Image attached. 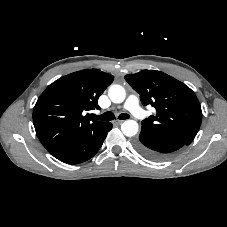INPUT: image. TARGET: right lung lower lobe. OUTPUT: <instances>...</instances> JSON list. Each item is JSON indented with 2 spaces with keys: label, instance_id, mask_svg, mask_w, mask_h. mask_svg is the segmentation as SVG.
Listing matches in <instances>:
<instances>
[{
  "label": "right lung lower lobe",
  "instance_id": "98d812e1",
  "mask_svg": "<svg viewBox=\"0 0 227 227\" xmlns=\"http://www.w3.org/2000/svg\"><path fill=\"white\" fill-rule=\"evenodd\" d=\"M112 124L106 122L104 126L93 132H86L73 144L52 153L58 160L67 164H78L92 158L100 149Z\"/></svg>",
  "mask_w": 227,
  "mask_h": 227
}]
</instances>
